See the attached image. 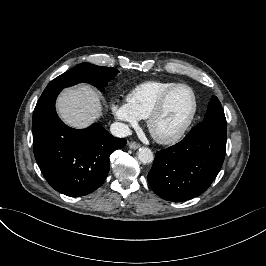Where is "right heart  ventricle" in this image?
Wrapping results in <instances>:
<instances>
[{
    "mask_svg": "<svg viewBox=\"0 0 266 266\" xmlns=\"http://www.w3.org/2000/svg\"><path fill=\"white\" fill-rule=\"evenodd\" d=\"M177 83L179 82L172 80L143 82L129 93V105L139 119H147L162 94Z\"/></svg>",
    "mask_w": 266,
    "mask_h": 266,
    "instance_id": "obj_1",
    "label": "right heart ventricle"
}]
</instances>
